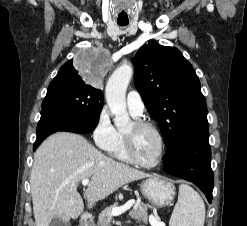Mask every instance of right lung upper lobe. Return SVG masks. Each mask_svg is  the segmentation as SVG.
I'll use <instances>...</instances> for the list:
<instances>
[{"label": "right lung upper lobe", "mask_w": 247, "mask_h": 226, "mask_svg": "<svg viewBox=\"0 0 247 226\" xmlns=\"http://www.w3.org/2000/svg\"><path fill=\"white\" fill-rule=\"evenodd\" d=\"M68 70H73V61L69 60L66 62L59 70L58 74H62L64 72H67Z\"/></svg>", "instance_id": "cb5924a9"}]
</instances>
